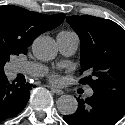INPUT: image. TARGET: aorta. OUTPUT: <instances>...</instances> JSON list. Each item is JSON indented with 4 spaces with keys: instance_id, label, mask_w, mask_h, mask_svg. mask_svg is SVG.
I'll return each instance as SVG.
<instances>
[{
    "instance_id": "aorta-1",
    "label": "aorta",
    "mask_w": 125,
    "mask_h": 125,
    "mask_svg": "<svg viewBox=\"0 0 125 125\" xmlns=\"http://www.w3.org/2000/svg\"><path fill=\"white\" fill-rule=\"evenodd\" d=\"M35 57L42 61L52 60L57 55L55 41L48 36H40L32 44ZM57 108L63 115H72L78 108L77 100L72 95H62L58 98Z\"/></svg>"
}]
</instances>
